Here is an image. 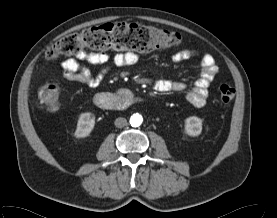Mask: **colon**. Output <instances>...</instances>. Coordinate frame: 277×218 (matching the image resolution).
I'll use <instances>...</instances> for the list:
<instances>
[{
    "mask_svg": "<svg viewBox=\"0 0 277 218\" xmlns=\"http://www.w3.org/2000/svg\"><path fill=\"white\" fill-rule=\"evenodd\" d=\"M182 43L175 31L154 28L134 23H106L69 34L55 42L45 52V58L54 61L63 56L77 55L86 49L128 50L147 53L167 49ZM235 89L229 84L219 86V98L230 103ZM60 89L56 84L46 83L39 91L40 107L47 112H56L60 105Z\"/></svg>",
    "mask_w": 277,
    "mask_h": 218,
    "instance_id": "1",
    "label": "colon"
}]
</instances>
